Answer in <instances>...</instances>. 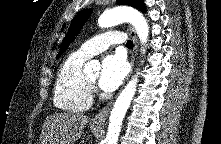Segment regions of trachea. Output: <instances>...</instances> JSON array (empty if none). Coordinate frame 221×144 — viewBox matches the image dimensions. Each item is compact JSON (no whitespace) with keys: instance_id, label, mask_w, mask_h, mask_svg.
<instances>
[{"instance_id":"1","label":"trachea","mask_w":221,"mask_h":144,"mask_svg":"<svg viewBox=\"0 0 221 144\" xmlns=\"http://www.w3.org/2000/svg\"><path fill=\"white\" fill-rule=\"evenodd\" d=\"M127 48L132 49L133 48V42L128 40L126 43Z\"/></svg>"}]
</instances>
